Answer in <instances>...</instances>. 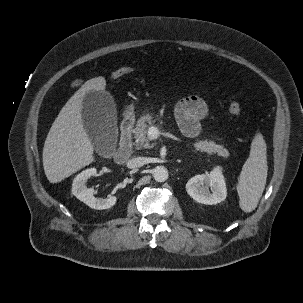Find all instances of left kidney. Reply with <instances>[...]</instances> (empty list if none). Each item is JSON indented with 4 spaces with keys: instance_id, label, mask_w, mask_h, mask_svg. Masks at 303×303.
Returning a JSON list of instances; mask_svg holds the SVG:
<instances>
[{
    "instance_id": "5707ae66",
    "label": "left kidney",
    "mask_w": 303,
    "mask_h": 303,
    "mask_svg": "<svg viewBox=\"0 0 303 303\" xmlns=\"http://www.w3.org/2000/svg\"><path fill=\"white\" fill-rule=\"evenodd\" d=\"M187 193L197 202L214 205L224 201L227 189L222 168L216 166L209 174L196 175L186 184Z\"/></svg>"
}]
</instances>
